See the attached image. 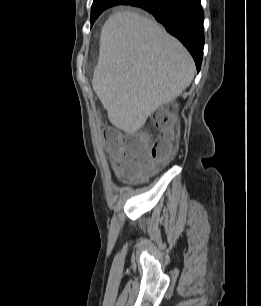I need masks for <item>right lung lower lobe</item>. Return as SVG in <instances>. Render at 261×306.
Masks as SVG:
<instances>
[{
    "instance_id": "right-lung-lower-lobe-1",
    "label": "right lung lower lobe",
    "mask_w": 261,
    "mask_h": 306,
    "mask_svg": "<svg viewBox=\"0 0 261 306\" xmlns=\"http://www.w3.org/2000/svg\"><path fill=\"white\" fill-rule=\"evenodd\" d=\"M201 0H128L125 5L140 7L153 14L170 34L179 39L200 70L203 47L204 14Z\"/></svg>"
}]
</instances>
